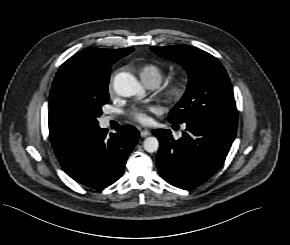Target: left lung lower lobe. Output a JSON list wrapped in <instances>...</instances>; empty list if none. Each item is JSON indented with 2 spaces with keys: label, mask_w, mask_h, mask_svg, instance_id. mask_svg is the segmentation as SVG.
Masks as SVG:
<instances>
[{
  "label": "left lung lower lobe",
  "mask_w": 290,
  "mask_h": 245,
  "mask_svg": "<svg viewBox=\"0 0 290 245\" xmlns=\"http://www.w3.org/2000/svg\"><path fill=\"white\" fill-rule=\"evenodd\" d=\"M183 123L187 128L178 140L170 130L156 129L152 133L160 141L156 162L161 177L188 190L204 183L222 166L236 136V127L203 116Z\"/></svg>",
  "instance_id": "obj_1"
}]
</instances>
